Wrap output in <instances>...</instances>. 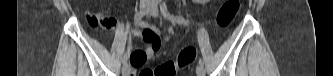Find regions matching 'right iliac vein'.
I'll list each match as a JSON object with an SVG mask.
<instances>
[{
    "instance_id": "right-iliac-vein-1",
    "label": "right iliac vein",
    "mask_w": 333,
    "mask_h": 76,
    "mask_svg": "<svg viewBox=\"0 0 333 76\" xmlns=\"http://www.w3.org/2000/svg\"><path fill=\"white\" fill-rule=\"evenodd\" d=\"M152 10V6L150 4H144L141 6V11L144 15H148L150 11ZM129 65L125 64L122 68V74L123 76H127L129 73Z\"/></svg>"
}]
</instances>
